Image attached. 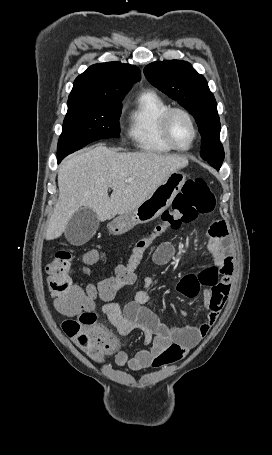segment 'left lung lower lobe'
I'll list each match as a JSON object with an SVG mask.
<instances>
[{"mask_svg":"<svg viewBox=\"0 0 272 455\" xmlns=\"http://www.w3.org/2000/svg\"><path fill=\"white\" fill-rule=\"evenodd\" d=\"M210 165L213 166L215 169L219 170L222 163H220L219 161H214V162H211Z\"/></svg>","mask_w":272,"mask_h":455,"instance_id":"obj_1","label":"left lung lower lobe"}]
</instances>
